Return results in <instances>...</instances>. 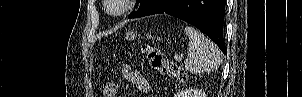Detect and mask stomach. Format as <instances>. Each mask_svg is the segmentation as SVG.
<instances>
[{"instance_id": "obj_1", "label": "stomach", "mask_w": 302, "mask_h": 97, "mask_svg": "<svg viewBox=\"0 0 302 97\" xmlns=\"http://www.w3.org/2000/svg\"><path fill=\"white\" fill-rule=\"evenodd\" d=\"M126 38L129 39V40H134V39L136 38V33L133 32V31H130V32H128V33L126 34ZM151 38H152L153 40H155L154 37L149 36V39H151ZM157 40H159V38H157Z\"/></svg>"}]
</instances>
